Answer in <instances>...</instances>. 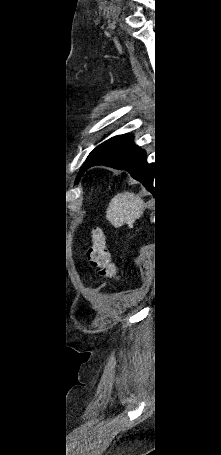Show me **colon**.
<instances>
[{
	"label": "colon",
	"mask_w": 221,
	"mask_h": 455,
	"mask_svg": "<svg viewBox=\"0 0 221 455\" xmlns=\"http://www.w3.org/2000/svg\"><path fill=\"white\" fill-rule=\"evenodd\" d=\"M91 267L103 278H117V269L111 260L103 233L96 229L92 233V243L87 252Z\"/></svg>",
	"instance_id": "1"
}]
</instances>
